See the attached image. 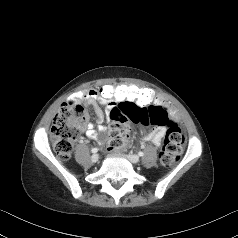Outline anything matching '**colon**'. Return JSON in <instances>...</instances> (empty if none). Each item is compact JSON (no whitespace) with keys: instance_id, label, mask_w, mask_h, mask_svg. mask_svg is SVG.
Returning a JSON list of instances; mask_svg holds the SVG:
<instances>
[{"instance_id":"colon-1","label":"colon","mask_w":238,"mask_h":238,"mask_svg":"<svg viewBox=\"0 0 238 238\" xmlns=\"http://www.w3.org/2000/svg\"><path fill=\"white\" fill-rule=\"evenodd\" d=\"M98 96L109 103H122L110 111L113 126L109 132V149H120L128 136L127 122L143 125L166 124L167 132L160 153V162L170 166L180 158L184 135L181 128L174 121H169L173 111L168 106L154 104L156 93L149 88L135 84L102 83L97 90ZM154 104V105H153ZM144 106V107H143ZM85 114L84 107L79 102L64 103L50 129L52 147L62 160H68L75 146L80 122Z\"/></svg>"}]
</instances>
